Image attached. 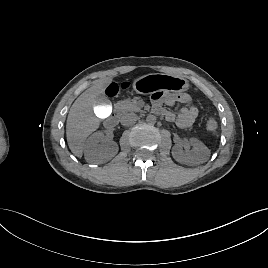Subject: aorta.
I'll return each instance as SVG.
<instances>
[{
  "label": "aorta",
  "mask_w": 268,
  "mask_h": 268,
  "mask_svg": "<svg viewBox=\"0 0 268 268\" xmlns=\"http://www.w3.org/2000/svg\"><path fill=\"white\" fill-rule=\"evenodd\" d=\"M146 122L150 125H154L156 123V116L148 115L146 118Z\"/></svg>",
  "instance_id": "762f6f07"
}]
</instances>
